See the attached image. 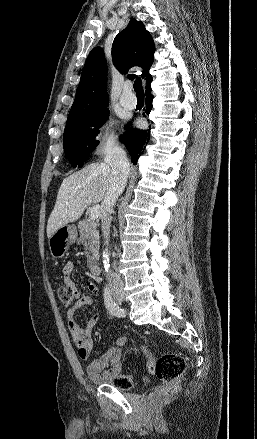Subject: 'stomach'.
Segmentation results:
<instances>
[{"label":"stomach","instance_id":"stomach-1","mask_svg":"<svg viewBox=\"0 0 257 439\" xmlns=\"http://www.w3.org/2000/svg\"><path fill=\"white\" fill-rule=\"evenodd\" d=\"M77 238V229L74 225H64L59 228L48 240L49 250L53 258H62L69 246Z\"/></svg>","mask_w":257,"mask_h":439}]
</instances>
